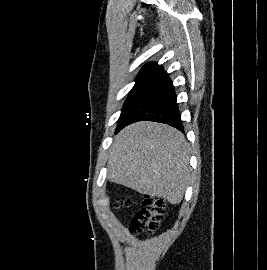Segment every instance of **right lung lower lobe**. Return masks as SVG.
<instances>
[{"label": "right lung lower lobe", "mask_w": 267, "mask_h": 270, "mask_svg": "<svg viewBox=\"0 0 267 270\" xmlns=\"http://www.w3.org/2000/svg\"><path fill=\"white\" fill-rule=\"evenodd\" d=\"M137 121L160 122L184 131L175 89L166 71L160 72L154 78L148 89L128 111L124 123L115 133Z\"/></svg>", "instance_id": "obj_1"}]
</instances>
